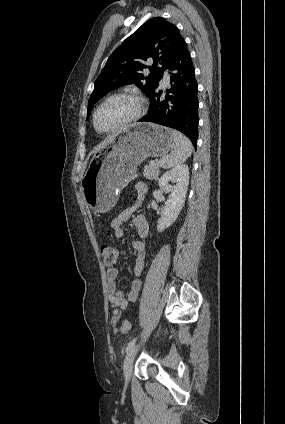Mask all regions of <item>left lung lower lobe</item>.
<instances>
[{
  "label": "left lung lower lobe",
  "mask_w": 285,
  "mask_h": 424,
  "mask_svg": "<svg viewBox=\"0 0 285 424\" xmlns=\"http://www.w3.org/2000/svg\"><path fill=\"white\" fill-rule=\"evenodd\" d=\"M171 71V88L162 91L155 89L149 96L151 103L149 112L142 117L141 122H153L176 129L185 134L194 147L198 138V84L190 53L183 37L177 42L174 52L166 66Z\"/></svg>",
  "instance_id": "left-lung-lower-lobe-1"
}]
</instances>
